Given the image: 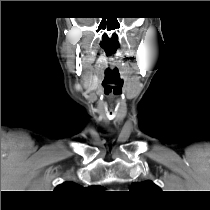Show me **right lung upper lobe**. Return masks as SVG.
Wrapping results in <instances>:
<instances>
[{
	"label": "right lung upper lobe",
	"mask_w": 210,
	"mask_h": 210,
	"mask_svg": "<svg viewBox=\"0 0 210 210\" xmlns=\"http://www.w3.org/2000/svg\"><path fill=\"white\" fill-rule=\"evenodd\" d=\"M79 188H81V187L74 182H65V183L57 186L55 191L70 192V191H74V190H79Z\"/></svg>",
	"instance_id": "obj_1"
}]
</instances>
